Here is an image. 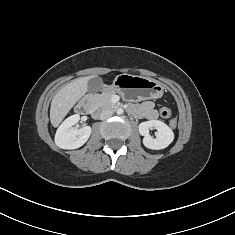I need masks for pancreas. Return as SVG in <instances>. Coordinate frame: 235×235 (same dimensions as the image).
<instances>
[{"label": "pancreas", "mask_w": 235, "mask_h": 235, "mask_svg": "<svg viewBox=\"0 0 235 235\" xmlns=\"http://www.w3.org/2000/svg\"><path fill=\"white\" fill-rule=\"evenodd\" d=\"M114 95L111 91H105L102 94H95L92 96L93 103L101 108L115 107V104L112 102V96Z\"/></svg>", "instance_id": "obj_1"}]
</instances>
